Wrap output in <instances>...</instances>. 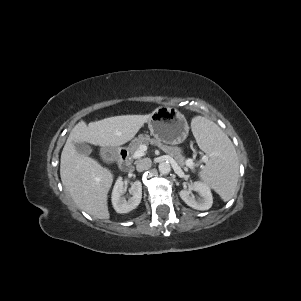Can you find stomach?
Wrapping results in <instances>:
<instances>
[{"instance_id":"obj_1","label":"stomach","mask_w":301,"mask_h":301,"mask_svg":"<svg viewBox=\"0 0 301 301\" xmlns=\"http://www.w3.org/2000/svg\"><path fill=\"white\" fill-rule=\"evenodd\" d=\"M147 122L151 135L166 144H180L189 133L184 115L170 107H158L150 114Z\"/></svg>"}]
</instances>
